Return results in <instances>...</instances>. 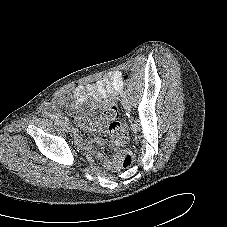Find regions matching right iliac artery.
I'll use <instances>...</instances> for the list:
<instances>
[{"label": "right iliac artery", "instance_id": "right-iliac-artery-1", "mask_svg": "<svg viewBox=\"0 0 227 227\" xmlns=\"http://www.w3.org/2000/svg\"><path fill=\"white\" fill-rule=\"evenodd\" d=\"M50 117H51V119H53V120H58L59 118L56 116V115H50Z\"/></svg>", "mask_w": 227, "mask_h": 227}]
</instances>
